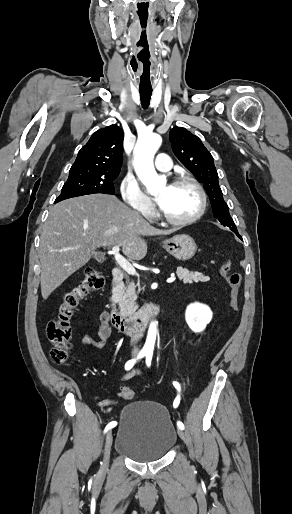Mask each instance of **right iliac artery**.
<instances>
[{"instance_id": "obj_1", "label": "right iliac artery", "mask_w": 292, "mask_h": 514, "mask_svg": "<svg viewBox=\"0 0 292 514\" xmlns=\"http://www.w3.org/2000/svg\"><path fill=\"white\" fill-rule=\"evenodd\" d=\"M146 355H147V352H146V351H141V352L138 354V356H137L136 358L131 359V360H129V361H127V362H126V364H125V370H127V371H128V370H130V369L134 366V364L136 363V361H137L138 359H141V358H143V357H144V356H146ZM116 425H117V422H115V421L110 422V423L105 427L104 432H107L108 430H110L111 428L115 427Z\"/></svg>"}]
</instances>
